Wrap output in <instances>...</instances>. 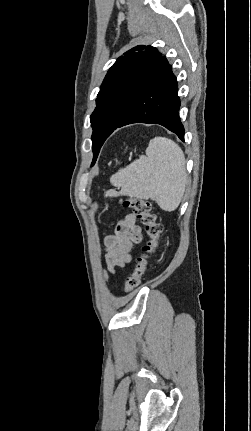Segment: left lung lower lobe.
Returning <instances> with one entry per match:
<instances>
[{"instance_id":"obj_1","label":"left lung lower lobe","mask_w":251,"mask_h":431,"mask_svg":"<svg viewBox=\"0 0 251 431\" xmlns=\"http://www.w3.org/2000/svg\"><path fill=\"white\" fill-rule=\"evenodd\" d=\"M177 91L172 67L161 55L115 129L132 123H155L166 127L184 141Z\"/></svg>"}]
</instances>
